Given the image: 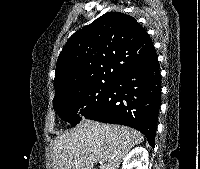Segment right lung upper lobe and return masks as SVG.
<instances>
[{
  "mask_svg": "<svg viewBox=\"0 0 200 169\" xmlns=\"http://www.w3.org/2000/svg\"><path fill=\"white\" fill-rule=\"evenodd\" d=\"M156 59L152 40L133 17L108 12L74 33L63 47L57 60L54 100Z\"/></svg>",
  "mask_w": 200,
  "mask_h": 169,
  "instance_id": "cb5924a9",
  "label": "right lung upper lobe"
}]
</instances>
